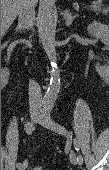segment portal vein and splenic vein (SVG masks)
Listing matches in <instances>:
<instances>
[{
  "instance_id": "1",
  "label": "portal vein and splenic vein",
  "mask_w": 109,
  "mask_h": 170,
  "mask_svg": "<svg viewBox=\"0 0 109 170\" xmlns=\"http://www.w3.org/2000/svg\"><path fill=\"white\" fill-rule=\"evenodd\" d=\"M91 7H92V8H96V5H93V6H91ZM76 9L78 10V9H79V7H77Z\"/></svg>"
}]
</instances>
